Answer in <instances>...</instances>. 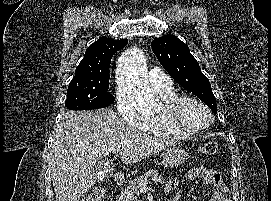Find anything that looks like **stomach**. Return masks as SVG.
<instances>
[{
  "label": "stomach",
  "instance_id": "stomach-1",
  "mask_svg": "<svg viewBox=\"0 0 271 201\" xmlns=\"http://www.w3.org/2000/svg\"><path fill=\"white\" fill-rule=\"evenodd\" d=\"M188 152L181 146H172L162 154V162L165 167L179 166L187 159Z\"/></svg>",
  "mask_w": 271,
  "mask_h": 201
}]
</instances>
